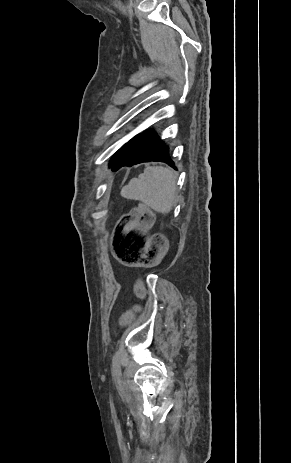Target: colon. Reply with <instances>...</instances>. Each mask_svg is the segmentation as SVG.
I'll list each match as a JSON object with an SVG mask.
<instances>
[{"mask_svg": "<svg viewBox=\"0 0 291 463\" xmlns=\"http://www.w3.org/2000/svg\"><path fill=\"white\" fill-rule=\"evenodd\" d=\"M153 213L149 207L140 204L117 222L111 240L113 257L122 265L135 267L155 259L165 248L161 233L147 237L143 229L151 226ZM129 314L121 317L127 321Z\"/></svg>", "mask_w": 291, "mask_h": 463, "instance_id": "colon-1", "label": "colon"}]
</instances>
